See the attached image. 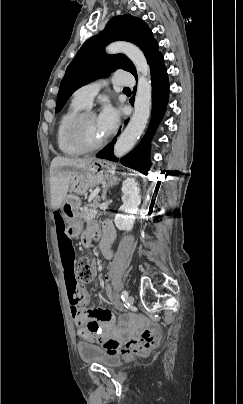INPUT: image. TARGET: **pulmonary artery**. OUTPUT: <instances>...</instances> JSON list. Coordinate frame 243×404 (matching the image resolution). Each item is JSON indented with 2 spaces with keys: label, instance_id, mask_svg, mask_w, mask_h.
Instances as JSON below:
<instances>
[{
  "label": "pulmonary artery",
  "instance_id": "1",
  "mask_svg": "<svg viewBox=\"0 0 243 404\" xmlns=\"http://www.w3.org/2000/svg\"><path fill=\"white\" fill-rule=\"evenodd\" d=\"M113 84L115 86H120L121 83L114 80L113 78H102L98 80H94L90 83H87L81 86L78 89L79 95L76 97L86 106L90 107L94 97L99 93V91L109 85Z\"/></svg>",
  "mask_w": 243,
  "mask_h": 404
}]
</instances>
